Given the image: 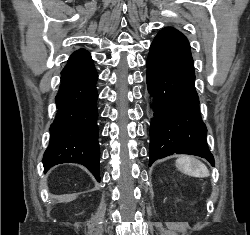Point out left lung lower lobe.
Instances as JSON below:
<instances>
[{"label":"left lung lower lobe","instance_id":"1","mask_svg":"<svg viewBox=\"0 0 250 235\" xmlns=\"http://www.w3.org/2000/svg\"><path fill=\"white\" fill-rule=\"evenodd\" d=\"M146 79L154 96L149 165L171 154L200 156L214 165L199 112L190 45L178 30L164 28L153 40Z\"/></svg>","mask_w":250,"mask_h":235}]
</instances>
